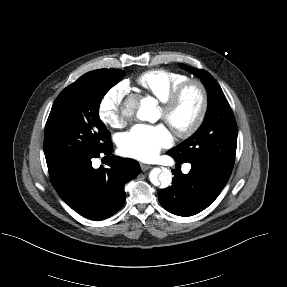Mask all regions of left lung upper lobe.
Returning <instances> with one entry per match:
<instances>
[{"label":"left lung upper lobe","mask_w":287,"mask_h":287,"mask_svg":"<svg viewBox=\"0 0 287 287\" xmlns=\"http://www.w3.org/2000/svg\"><path fill=\"white\" fill-rule=\"evenodd\" d=\"M182 67L203 82L208 93V110L197 132L167 153L180 160L202 158L232 169L237 147V125L231 107L210 73L184 64Z\"/></svg>","instance_id":"1"}]
</instances>
